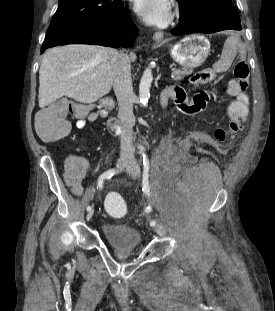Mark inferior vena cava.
Returning a JSON list of instances; mask_svg holds the SVG:
<instances>
[{"label":"inferior vena cava","instance_id":"1","mask_svg":"<svg viewBox=\"0 0 275 311\" xmlns=\"http://www.w3.org/2000/svg\"><path fill=\"white\" fill-rule=\"evenodd\" d=\"M113 68V89L117 97L122 124L121 158L134 160L133 135V103L135 95L132 88L131 65L129 56L123 53H114L111 58Z\"/></svg>","mask_w":275,"mask_h":311}]
</instances>
